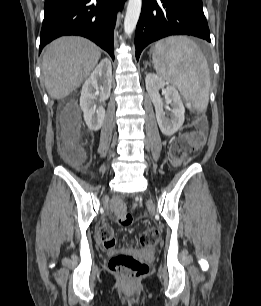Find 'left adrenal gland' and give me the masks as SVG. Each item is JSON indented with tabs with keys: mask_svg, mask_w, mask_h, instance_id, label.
Returning a JSON list of instances; mask_svg holds the SVG:
<instances>
[{
	"mask_svg": "<svg viewBox=\"0 0 261 306\" xmlns=\"http://www.w3.org/2000/svg\"><path fill=\"white\" fill-rule=\"evenodd\" d=\"M147 65H150L148 62H145V68L147 67Z\"/></svg>",
	"mask_w": 261,
	"mask_h": 306,
	"instance_id": "obj_1",
	"label": "left adrenal gland"
}]
</instances>
